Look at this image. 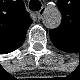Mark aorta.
I'll list each match as a JSON object with an SVG mask.
<instances>
[{
	"instance_id": "aorta-1",
	"label": "aorta",
	"mask_w": 80,
	"mask_h": 80,
	"mask_svg": "<svg viewBox=\"0 0 80 80\" xmlns=\"http://www.w3.org/2000/svg\"><path fill=\"white\" fill-rule=\"evenodd\" d=\"M62 20L61 13L58 9H53L48 11L47 15L44 18V22L48 27L56 28L60 25Z\"/></svg>"
}]
</instances>
